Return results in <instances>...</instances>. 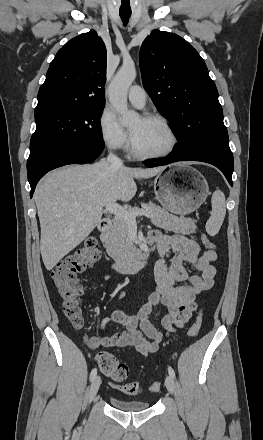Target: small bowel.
<instances>
[{
	"label": "small bowel",
	"mask_w": 263,
	"mask_h": 440,
	"mask_svg": "<svg viewBox=\"0 0 263 440\" xmlns=\"http://www.w3.org/2000/svg\"><path fill=\"white\" fill-rule=\"evenodd\" d=\"M148 241L157 246L160 255L154 268L156 291L135 316L121 310L107 315L102 320L101 328L115 322L121 325V330L112 336L92 339L89 342L92 349L131 347L144 356L153 353L164 338L163 333L148 319L153 308L162 304L168 309L161 324L170 335L188 323L197 308L196 298L212 288L216 275L212 263L217 258L214 250L207 249L201 254L200 246L193 239L179 234L164 235L158 230L149 233ZM185 264H189L197 273L191 274ZM111 277V274H107L104 280ZM122 296L119 295L120 298Z\"/></svg>",
	"instance_id": "c3829d8e"
}]
</instances>
